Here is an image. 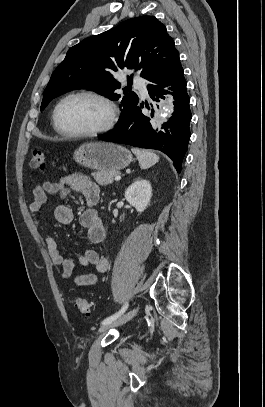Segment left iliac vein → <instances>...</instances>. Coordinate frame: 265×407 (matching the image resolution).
I'll return each instance as SVG.
<instances>
[{
    "mask_svg": "<svg viewBox=\"0 0 265 407\" xmlns=\"http://www.w3.org/2000/svg\"><path fill=\"white\" fill-rule=\"evenodd\" d=\"M137 313H138V308H134V309L130 310L129 312H127L126 314L122 315L121 317L115 319L114 321H112L108 324L102 325L99 328V332L104 333L111 328L123 325L126 322L130 321L132 318H134L137 315Z\"/></svg>",
    "mask_w": 265,
    "mask_h": 407,
    "instance_id": "1",
    "label": "left iliac vein"
}]
</instances>
